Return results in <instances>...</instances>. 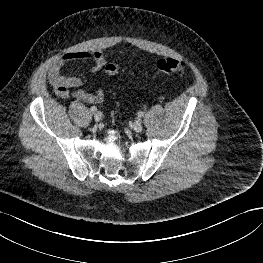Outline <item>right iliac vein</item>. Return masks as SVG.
Returning a JSON list of instances; mask_svg holds the SVG:
<instances>
[{"instance_id":"obj_1","label":"right iliac vein","mask_w":263,"mask_h":263,"mask_svg":"<svg viewBox=\"0 0 263 263\" xmlns=\"http://www.w3.org/2000/svg\"><path fill=\"white\" fill-rule=\"evenodd\" d=\"M101 118H102V115H101L100 112L94 113V120H95L96 122H99V121L101 120Z\"/></svg>"}]
</instances>
